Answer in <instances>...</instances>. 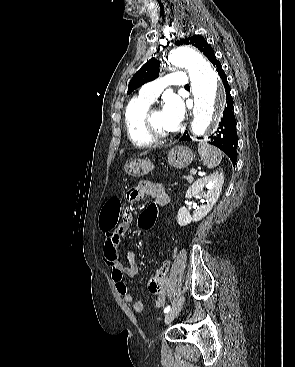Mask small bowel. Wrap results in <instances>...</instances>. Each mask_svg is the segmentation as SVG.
I'll use <instances>...</instances> for the list:
<instances>
[{"label": "small bowel", "instance_id": "small-bowel-1", "mask_svg": "<svg viewBox=\"0 0 295 367\" xmlns=\"http://www.w3.org/2000/svg\"><path fill=\"white\" fill-rule=\"evenodd\" d=\"M150 195L156 198L155 202L158 203V205H163L168 200V196L165 193L163 187L148 180H143L139 182L136 187L132 188L127 194V199L129 202L135 203L143 199V197ZM123 213V221L117 227L108 231L102 230L106 236L103 247V260L111 269L112 280L115 283L117 291L122 295L124 301L128 304H131L134 311L142 312L143 303L134 299L128 290L127 284L124 281L125 276L129 278H135L139 274V269L136 262V253L133 249H130L127 252L125 262L120 259L118 253L121 238L124 237L128 232L136 210L135 208H124ZM169 269L170 262L168 260H164L159 269L148 282L149 290L158 295L155 301L156 308L162 307L165 303L167 276Z\"/></svg>", "mask_w": 295, "mask_h": 367}]
</instances>
